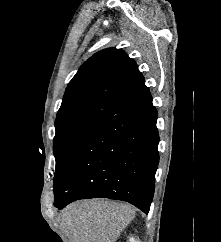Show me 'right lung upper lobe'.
<instances>
[{"label":"right lung upper lobe","instance_id":"1","mask_svg":"<svg viewBox=\"0 0 221 242\" xmlns=\"http://www.w3.org/2000/svg\"><path fill=\"white\" fill-rule=\"evenodd\" d=\"M148 91L133 59L121 49H104L82 64L68 84L55 127L104 122Z\"/></svg>","mask_w":221,"mask_h":242}]
</instances>
